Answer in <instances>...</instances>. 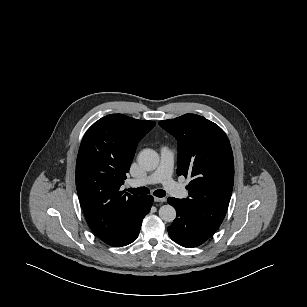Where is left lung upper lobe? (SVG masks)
<instances>
[{"label": "left lung upper lobe", "instance_id": "obj_1", "mask_svg": "<svg viewBox=\"0 0 307 307\" xmlns=\"http://www.w3.org/2000/svg\"><path fill=\"white\" fill-rule=\"evenodd\" d=\"M159 125L178 141L177 175H188L189 197L179 199L189 214L217 230L230 202L234 183V160L228 137L210 120L185 114L160 121Z\"/></svg>", "mask_w": 307, "mask_h": 307}]
</instances>
